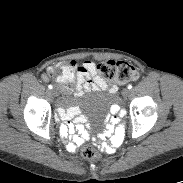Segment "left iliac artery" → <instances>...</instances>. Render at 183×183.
<instances>
[{"mask_svg": "<svg viewBox=\"0 0 183 183\" xmlns=\"http://www.w3.org/2000/svg\"><path fill=\"white\" fill-rule=\"evenodd\" d=\"M128 89H132V85L131 84L128 85Z\"/></svg>", "mask_w": 183, "mask_h": 183, "instance_id": "left-iliac-artery-1", "label": "left iliac artery"}]
</instances>
